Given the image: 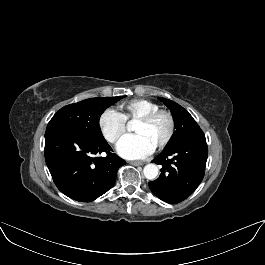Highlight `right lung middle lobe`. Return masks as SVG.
Listing matches in <instances>:
<instances>
[{
    "instance_id": "obj_1",
    "label": "right lung middle lobe",
    "mask_w": 265,
    "mask_h": 265,
    "mask_svg": "<svg viewBox=\"0 0 265 265\" xmlns=\"http://www.w3.org/2000/svg\"><path fill=\"white\" fill-rule=\"evenodd\" d=\"M124 96L91 98L64 106L55 113L46 130L69 129L93 138H103L99 126L101 114Z\"/></svg>"
}]
</instances>
